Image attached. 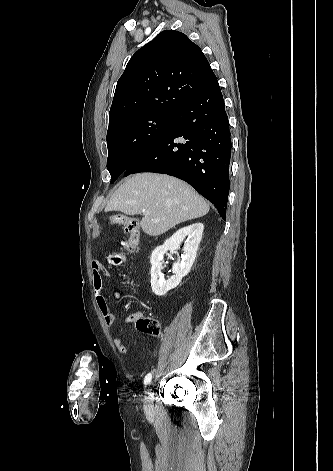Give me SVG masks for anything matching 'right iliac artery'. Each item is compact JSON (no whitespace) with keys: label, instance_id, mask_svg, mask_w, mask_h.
Returning a JSON list of instances; mask_svg holds the SVG:
<instances>
[{"label":"right iliac artery","instance_id":"right-iliac-artery-1","mask_svg":"<svg viewBox=\"0 0 333 471\" xmlns=\"http://www.w3.org/2000/svg\"><path fill=\"white\" fill-rule=\"evenodd\" d=\"M151 379H152V374L151 373L147 374L146 377L144 378V384L147 386L151 382Z\"/></svg>","mask_w":333,"mask_h":471}]
</instances>
